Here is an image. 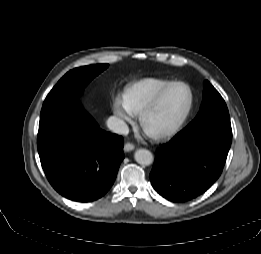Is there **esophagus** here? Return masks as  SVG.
Masks as SVG:
<instances>
[{
    "instance_id": "34e87169",
    "label": "esophagus",
    "mask_w": 261,
    "mask_h": 254,
    "mask_svg": "<svg viewBox=\"0 0 261 254\" xmlns=\"http://www.w3.org/2000/svg\"><path fill=\"white\" fill-rule=\"evenodd\" d=\"M134 148H135L134 145L129 142L125 143V145H124L125 152H130V151L134 150Z\"/></svg>"
}]
</instances>
